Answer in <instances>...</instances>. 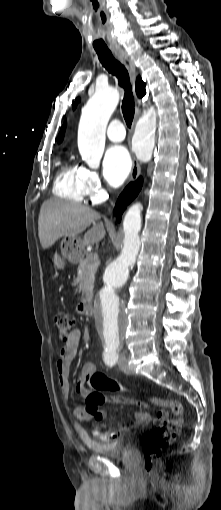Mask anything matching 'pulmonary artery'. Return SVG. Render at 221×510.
<instances>
[{"mask_svg": "<svg viewBox=\"0 0 221 510\" xmlns=\"http://www.w3.org/2000/svg\"><path fill=\"white\" fill-rule=\"evenodd\" d=\"M107 137L113 142H121L125 137V129L120 121H113L107 128Z\"/></svg>", "mask_w": 221, "mask_h": 510, "instance_id": "pulmonary-artery-1", "label": "pulmonary artery"}]
</instances>
